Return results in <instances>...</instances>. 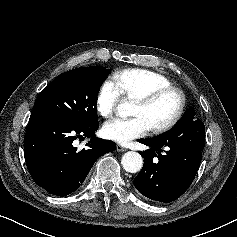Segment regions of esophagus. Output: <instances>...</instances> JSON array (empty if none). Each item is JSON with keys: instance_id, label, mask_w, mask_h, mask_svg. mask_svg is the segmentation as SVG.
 Wrapping results in <instances>:
<instances>
[{"instance_id": "esophagus-1", "label": "esophagus", "mask_w": 237, "mask_h": 237, "mask_svg": "<svg viewBox=\"0 0 237 237\" xmlns=\"http://www.w3.org/2000/svg\"><path fill=\"white\" fill-rule=\"evenodd\" d=\"M116 149H117L118 152H124V151L127 150L125 147H123L121 145H117Z\"/></svg>"}]
</instances>
